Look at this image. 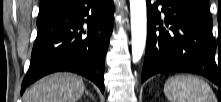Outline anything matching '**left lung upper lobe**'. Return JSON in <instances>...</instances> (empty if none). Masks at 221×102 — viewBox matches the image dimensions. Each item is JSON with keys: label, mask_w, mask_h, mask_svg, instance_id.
I'll list each match as a JSON object with an SVG mask.
<instances>
[{"label": "left lung upper lobe", "mask_w": 221, "mask_h": 102, "mask_svg": "<svg viewBox=\"0 0 221 102\" xmlns=\"http://www.w3.org/2000/svg\"><path fill=\"white\" fill-rule=\"evenodd\" d=\"M197 1L203 3L205 6L208 7V0H197Z\"/></svg>", "instance_id": "5c2ea615"}]
</instances>
